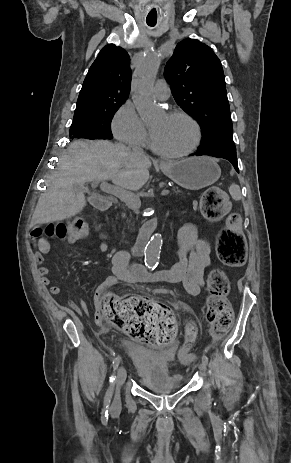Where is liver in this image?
Returning <instances> with one entry per match:
<instances>
[{
  "mask_svg": "<svg viewBox=\"0 0 291 463\" xmlns=\"http://www.w3.org/2000/svg\"><path fill=\"white\" fill-rule=\"evenodd\" d=\"M152 163L142 152L109 141L72 142L59 159L47 191L41 195L31 223L45 224L71 218L86 206L83 186L111 180L128 190H139L149 179Z\"/></svg>",
  "mask_w": 291,
  "mask_h": 463,
  "instance_id": "obj_1",
  "label": "liver"
}]
</instances>
